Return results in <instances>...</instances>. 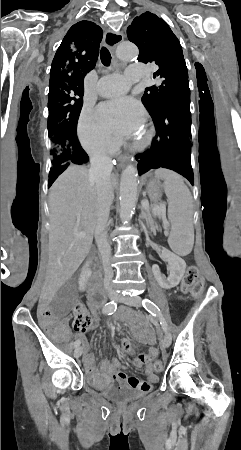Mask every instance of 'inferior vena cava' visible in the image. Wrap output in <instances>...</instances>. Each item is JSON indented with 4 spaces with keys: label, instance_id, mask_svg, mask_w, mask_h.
Returning <instances> with one entry per match:
<instances>
[{
    "label": "inferior vena cava",
    "instance_id": "1",
    "mask_svg": "<svg viewBox=\"0 0 241 450\" xmlns=\"http://www.w3.org/2000/svg\"><path fill=\"white\" fill-rule=\"evenodd\" d=\"M112 168V160L109 156H106V154L91 156L88 182L89 186H94L95 184L98 194V214L95 228V238L98 250L102 256L105 290H108L110 282L114 276L110 262L111 246L107 240L106 232L110 206L114 198L110 182Z\"/></svg>",
    "mask_w": 241,
    "mask_h": 450
}]
</instances>
